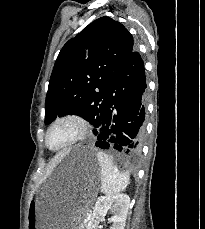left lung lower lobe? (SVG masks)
Returning <instances> with one entry per match:
<instances>
[{
	"label": "left lung lower lobe",
	"mask_w": 205,
	"mask_h": 229,
	"mask_svg": "<svg viewBox=\"0 0 205 229\" xmlns=\"http://www.w3.org/2000/svg\"><path fill=\"white\" fill-rule=\"evenodd\" d=\"M146 76L141 55L133 49L108 91V102L95 133V145L130 158L141 152L145 131Z\"/></svg>",
	"instance_id": "left-lung-lower-lobe-1"
}]
</instances>
